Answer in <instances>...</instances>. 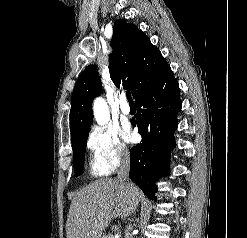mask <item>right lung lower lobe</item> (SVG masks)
Here are the masks:
<instances>
[{
	"instance_id": "98d812e1",
	"label": "right lung lower lobe",
	"mask_w": 247,
	"mask_h": 238,
	"mask_svg": "<svg viewBox=\"0 0 247 238\" xmlns=\"http://www.w3.org/2000/svg\"><path fill=\"white\" fill-rule=\"evenodd\" d=\"M138 113L132 124L139 127L141 143L130 152V178L144 194L155 199L156 179L168 171L170 152L175 146L177 113L181 110L179 84L169 67L136 99Z\"/></svg>"
}]
</instances>
